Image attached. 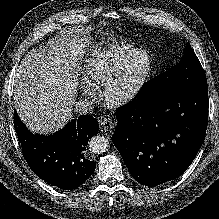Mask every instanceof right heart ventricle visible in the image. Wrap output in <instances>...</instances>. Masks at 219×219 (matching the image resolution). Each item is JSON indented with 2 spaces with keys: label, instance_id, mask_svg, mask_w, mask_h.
Listing matches in <instances>:
<instances>
[{
  "label": "right heart ventricle",
  "instance_id": "e07e8e85",
  "mask_svg": "<svg viewBox=\"0 0 219 219\" xmlns=\"http://www.w3.org/2000/svg\"><path fill=\"white\" fill-rule=\"evenodd\" d=\"M139 50L130 44H112L91 52L82 64V79L90 88L101 86L122 59Z\"/></svg>",
  "mask_w": 219,
  "mask_h": 219
}]
</instances>
